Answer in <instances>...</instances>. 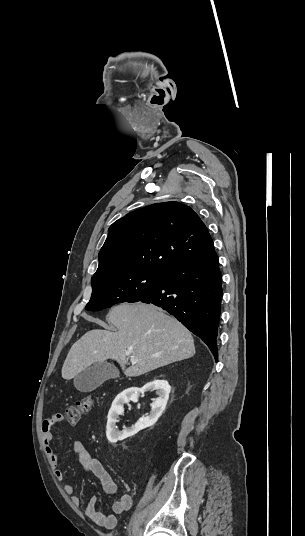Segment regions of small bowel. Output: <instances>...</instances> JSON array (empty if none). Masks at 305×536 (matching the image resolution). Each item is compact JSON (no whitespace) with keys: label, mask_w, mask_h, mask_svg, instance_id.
Masks as SVG:
<instances>
[{"label":"small bowel","mask_w":305,"mask_h":536,"mask_svg":"<svg viewBox=\"0 0 305 536\" xmlns=\"http://www.w3.org/2000/svg\"><path fill=\"white\" fill-rule=\"evenodd\" d=\"M42 422V443L45 453L49 460V463L54 470L55 478L58 481L64 480V473L59 468V458L52 448L53 433L52 428L55 427L56 422L63 420V413L61 411H48L44 415ZM67 425V422H64ZM73 452L79 457L80 463L87 473H92L100 481L104 491L108 494H114L118 490L117 482L107 472L103 464L96 458L92 457L85 447V445L76 441L72 445ZM64 492L70 497L72 503L75 506H79L81 499L78 495L74 494V486L70 483L64 485ZM133 505V499L129 494H123L118 500L112 504V513H102L97 508V499L95 496L91 497L85 507V515L92 520L96 525L104 527L106 529H114L117 525V515L126 513Z\"/></svg>","instance_id":"c3829d8e"}]
</instances>
